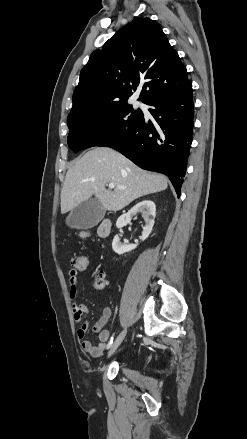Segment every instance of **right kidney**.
Listing matches in <instances>:
<instances>
[{
  "instance_id": "ca27d5eb",
  "label": "right kidney",
  "mask_w": 247,
  "mask_h": 439,
  "mask_svg": "<svg viewBox=\"0 0 247 439\" xmlns=\"http://www.w3.org/2000/svg\"><path fill=\"white\" fill-rule=\"evenodd\" d=\"M141 213L145 225L143 226L141 240L144 241L150 235L153 226L154 218L156 216V205L151 200H144L133 206L127 213L121 215L116 222L117 228L126 226L134 216ZM137 245H128L120 242L119 236L116 235L112 242V249L115 253L121 255L136 248Z\"/></svg>"
}]
</instances>
